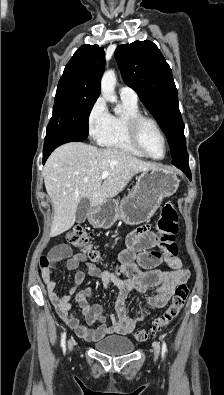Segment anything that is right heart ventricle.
Wrapping results in <instances>:
<instances>
[{
    "instance_id": "right-heart-ventricle-1",
    "label": "right heart ventricle",
    "mask_w": 224,
    "mask_h": 395,
    "mask_svg": "<svg viewBox=\"0 0 224 395\" xmlns=\"http://www.w3.org/2000/svg\"><path fill=\"white\" fill-rule=\"evenodd\" d=\"M122 100L123 112L110 114L105 132L98 139L102 146L127 153L132 156L145 157L131 143L127 132V120L129 117L141 114L137 103Z\"/></svg>"
}]
</instances>
